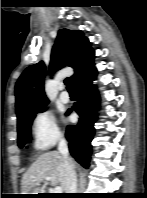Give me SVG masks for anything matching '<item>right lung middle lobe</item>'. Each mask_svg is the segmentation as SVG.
<instances>
[{"label":"right lung middle lobe","mask_w":147,"mask_h":198,"mask_svg":"<svg viewBox=\"0 0 147 198\" xmlns=\"http://www.w3.org/2000/svg\"><path fill=\"white\" fill-rule=\"evenodd\" d=\"M40 111L44 112L45 109L42 108V109L26 116L20 122H18V124H17L18 146L20 148L24 147L26 144L31 142V124H32V121H33L35 115Z\"/></svg>","instance_id":"1"}]
</instances>
